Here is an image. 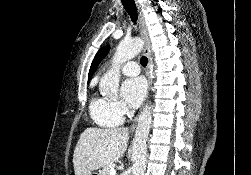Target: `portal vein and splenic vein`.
I'll list each match as a JSON object with an SVG mask.
<instances>
[{
    "mask_svg": "<svg viewBox=\"0 0 251 175\" xmlns=\"http://www.w3.org/2000/svg\"><path fill=\"white\" fill-rule=\"evenodd\" d=\"M110 175H116V169H114V167H111Z\"/></svg>",
    "mask_w": 251,
    "mask_h": 175,
    "instance_id": "18ae733b",
    "label": "portal vein and splenic vein"
}]
</instances>
